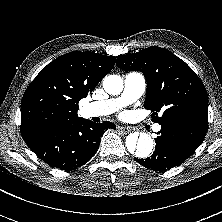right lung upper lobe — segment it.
<instances>
[{
  "label": "right lung upper lobe",
  "instance_id": "obj_1",
  "mask_svg": "<svg viewBox=\"0 0 222 222\" xmlns=\"http://www.w3.org/2000/svg\"><path fill=\"white\" fill-rule=\"evenodd\" d=\"M115 57L93 52L64 54L35 77L21 102V132L42 126H68L78 117L79 100L114 67Z\"/></svg>",
  "mask_w": 222,
  "mask_h": 222
}]
</instances>
